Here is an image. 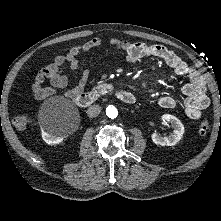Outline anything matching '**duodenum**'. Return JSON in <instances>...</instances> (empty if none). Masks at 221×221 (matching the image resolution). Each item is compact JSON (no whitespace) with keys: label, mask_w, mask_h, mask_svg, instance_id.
Wrapping results in <instances>:
<instances>
[{"label":"duodenum","mask_w":221,"mask_h":221,"mask_svg":"<svg viewBox=\"0 0 221 221\" xmlns=\"http://www.w3.org/2000/svg\"><path fill=\"white\" fill-rule=\"evenodd\" d=\"M102 93L100 91L82 92L75 97V103L81 108L92 105ZM115 96L124 104H133L136 101L134 94L130 91H118Z\"/></svg>","instance_id":"1"}]
</instances>
